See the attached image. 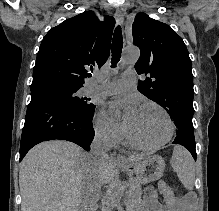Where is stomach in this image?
Instances as JSON below:
<instances>
[{
	"mask_svg": "<svg viewBox=\"0 0 219 211\" xmlns=\"http://www.w3.org/2000/svg\"><path fill=\"white\" fill-rule=\"evenodd\" d=\"M124 171L134 173L140 183L147 184L162 177L165 161L159 155H148L139 161L122 164Z\"/></svg>",
	"mask_w": 219,
	"mask_h": 211,
	"instance_id": "0dacf381",
	"label": "stomach"
}]
</instances>
